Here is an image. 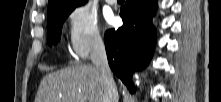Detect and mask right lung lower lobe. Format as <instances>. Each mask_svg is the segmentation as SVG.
<instances>
[{"label": "right lung lower lobe", "instance_id": "obj_1", "mask_svg": "<svg viewBox=\"0 0 221 102\" xmlns=\"http://www.w3.org/2000/svg\"><path fill=\"white\" fill-rule=\"evenodd\" d=\"M156 10L157 0H126L120 11L123 26L107 30L104 36L109 65L130 92L135 91L131 75L144 68L153 54L156 31L151 20Z\"/></svg>", "mask_w": 221, "mask_h": 102}]
</instances>
